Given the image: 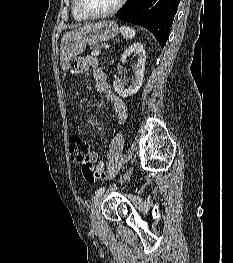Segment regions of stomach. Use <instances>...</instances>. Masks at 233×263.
I'll return each instance as SVG.
<instances>
[{"label": "stomach", "mask_w": 233, "mask_h": 263, "mask_svg": "<svg viewBox=\"0 0 233 263\" xmlns=\"http://www.w3.org/2000/svg\"><path fill=\"white\" fill-rule=\"evenodd\" d=\"M118 25L114 21H99L87 24L79 29L66 32L60 44V62L63 71H67L70 62L84 51L87 45L106 42L117 36Z\"/></svg>", "instance_id": "1"}]
</instances>
